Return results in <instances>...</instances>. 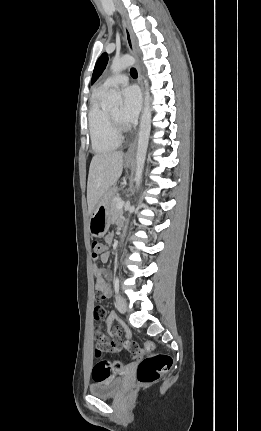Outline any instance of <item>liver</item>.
Masks as SVG:
<instances>
[{"mask_svg": "<svg viewBox=\"0 0 261 431\" xmlns=\"http://www.w3.org/2000/svg\"><path fill=\"white\" fill-rule=\"evenodd\" d=\"M122 151L95 155L90 163L87 203L91 215L102 196L117 182L123 171Z\"/></svg>", "mask_w": 261, "mask_h": 431, "instance_id": "liver-1", "label": "liver"}]
</instances>
